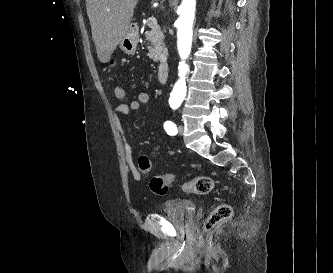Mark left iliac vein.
<instances>
[{
  "label": "left iliac vein",
  "instance_id": "4c4485c4",
  "mask_svg": "<svg viewBox=\"0 0 333 273\" xmlns=\"http://www.w3.org/2000/svg\"><path fill=\"white\" fill-rule=\"evenodd\" d=\"M178 132H179L180 135H183V133H184V126L183 125L178 126Z\"/></svg>",
  "mask_w": 333,
  "mask_h": 273
}]
</instances>
